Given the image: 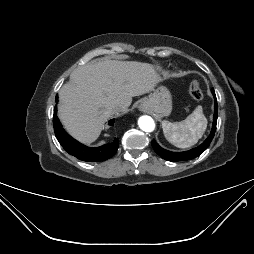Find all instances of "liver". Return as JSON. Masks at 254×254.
<instances>
[{"label": "liver", "mask_w": 254, "mask_h": 254, "mask_svg": "<svg viewBox=\"0 0 254 254\" xmlns=\"http://www.w3.org/2000/svg\"><path fill=\"white\" fill-rule=\"evenodd\" d=\"M160 81L152 64L104 60L76 68L59 91L58 116L65 129L90 144L100 135L113 107L154 89Z\"/></svg>", "instance_id": "liver-1"}]
</instances>
